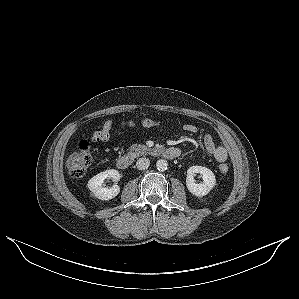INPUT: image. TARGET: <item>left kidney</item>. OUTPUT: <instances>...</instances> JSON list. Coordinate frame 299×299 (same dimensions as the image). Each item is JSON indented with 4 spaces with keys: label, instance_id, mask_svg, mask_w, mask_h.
I'll use <instances>...</instances> for the list:
<instances>
[{
    "label": "left kidney",
    "instance_id": "obj_1",
    "mask_svg": "<svg viewBox=\"0 0 299 299\" xmlns=\"http://www.w3.org/2000/svg\"><path fill=\"white\" fill-rule=\"evenodd\" d=\"M196 173H200L202 175V183H195L194 176ZM215 184V175L210 169L202 166H192L187 170L186 186L193 195L198 197L205 196L210 192Z\"/></svg>",
    "mask_w": 299,
    "mask_h": 299
}]
</instances>
